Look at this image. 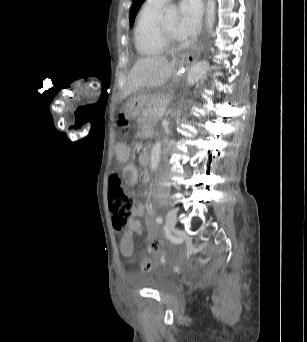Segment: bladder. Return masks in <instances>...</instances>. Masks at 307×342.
<instances>
[{"instance_id": "31cf9c89", "label": "bladder", "mask_w": 307, "mask_h": 342, "mask_svg": "<svg viewBox=\"0 0 307 342\" xmlns=\"http://www.w3.org/2000/svg\"><path fill=\"white\" fill-rule=\"evenodd\" d=\"M176 281L172 275L163 270H155L144 281V286L159 293H167L174 289Z\"/></svg>"}]
</instances>
